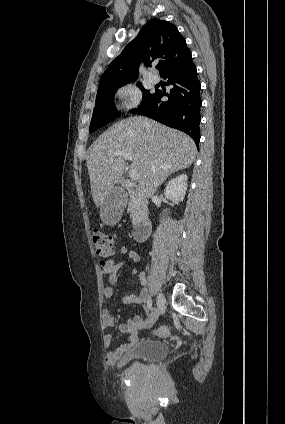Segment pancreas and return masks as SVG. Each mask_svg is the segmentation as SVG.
Wrapping results in <instances>:
<instances>
[{"label": "pancreas", "mask_w": 285, "mask_h": 424, "mask_svg": "<svg viewBox=\"0 0 285 424\" xmlns=\"http://www.w3.org/2000/svg\"><path fill=\"white\" fill-rule=\"evenodd\" d=\"M144 210L145 205L143 199L139 196L132 195L128 204V211H130V218L134 225L139 221Z\"/></svg>", "instance_id": "pancreas-1"}]
</instances>
